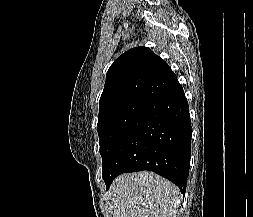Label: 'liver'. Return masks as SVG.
Returning <instances> with one entry per match:
<instances>
[{"label": "liver", "mask_w": 253, "mask_h": 217, "mask_svg": "<svg viewBox=\"0 0 253 217\" xmlns=\"http://www.w3.org/2000/svg\"><path fill=\"white\" fill-rule=\"evenodd\" d=\"M110 191L114 217H176L182 201L177 186L149 171L122 174Z\"/></svg>", "instance_id": "6515ba94"}]
</instances>
